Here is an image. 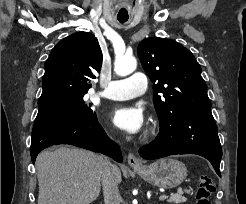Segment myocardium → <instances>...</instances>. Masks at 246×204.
<instances>
[{"label":"myocardium","instance_id":"myocardium-1","mask_svg":"<svg viewBox=\"0 0 246 204\" xmlns=\"http://www.w3.org/2000/svg\"><path fill=\"white\" fill-rule=\"evenodd\" d=\"M150 134V131L147 133V136Z\"/></svg>","mask_w":246,"mask_h":204}]
</instances>
